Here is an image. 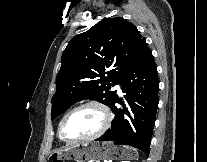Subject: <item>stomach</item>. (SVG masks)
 Here are the masks:
<instances>
[{"mask_svg": "<svg viewBox=\"0 0 207 162\" xmlns=\"http://www.w3.org/2000/svg\"><path fill=\"white\" fill-rule=\"evenodd\" d=\"M125 158L135 159L136 153L130 147L117 146L111 142L83 143L67 150L54 152L49 156L50 162L64 160L100 162V160H123Z\"/></svg>", "mask_w": 207, "mask_h": 162, "instance_id": "obj_1", "label": "stomach"}]
</instances>
